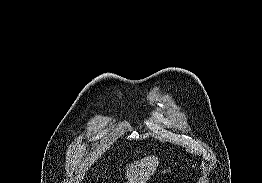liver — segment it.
Here are the masks:
<instances>
[{
  "instance_id": "obj_1",
  "label": "liver",
  "mask_w": 262,
  "mask_h": 183,
  "mask_svg": "<svg viewBox=\"0 0 262 183\" xmlns=\"http://www.w3.org/2000/svg\"><path fill=\"white\" fill-rule=\"evenodd\" d=\"M159 164L158 157L146 156L137 162L127 166V178L129 183H145Z\"/></svg>"
}]
</instances>
